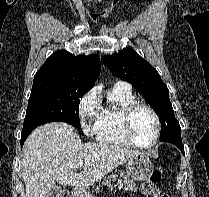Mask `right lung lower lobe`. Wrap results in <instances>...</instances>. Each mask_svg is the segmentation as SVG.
Returning a JSON list of instances; mask_svg holds the SVG:
<instances>
[{"instance_id": "right-lung-lower-lobe-1", "label": "right lung lower lobe", "mask_w": 209, "mask_h": 197, "mask_svg": "<svg viewBox=\"0 0 209 197\" xmlns=\"http://www.w3.org/2000/svg\"><path fill=\"white\" fill-rule=\"evenodd\" d=\"M35 128H36V127H34V128H29V129H26V130H23V131H22V134H21V147L23 146L24 141L26 140V138L28 137V135H29Z\"/></svg>"}]
</instances>
